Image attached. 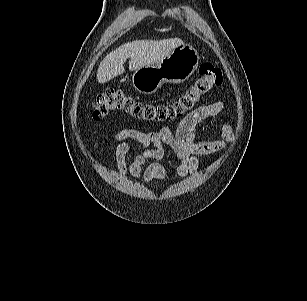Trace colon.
<instances>
[{"mask_svg": "<svg viewBox=\"0 0 307 301\" xmlns=\"http://www.w3.org/2000/svg\"><path fill=\"white\" fill-rule=\"evenodd\" d=\"M221 70L212 63H203L199 77L171 104L143 102L119 90L105 91L93 102V116L105 117L112 112H123L133 119L146 122H166L183 118L192 113L203 97L222 83Z\"/></svg>", "mask_w": 307, "mask_h": 301, "instance_id": "5ec220e1", "label": "colon"}]
</instances>
